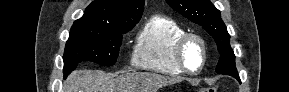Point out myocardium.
Returning a JSON list of instances; mask_svg holds the SVG:
<instances>
[{
	"label": "myocardium",
	"mask_w": 289,
	"mask_h": 92,
	"mask_svg": "<svg viewBox=\"0 0 289 92\" xmlns=\"http://www.w3.org/2000/svg\"><path fill=\"white\" fill-rule=\"evenodd\" d=\"M190 41L197 42L200 45L201 51H202V61H201L200 66L196 70L189 69L184 60L185 47ZM207 54H208L207 44L205 40L200 35L195 34V33H188V32L184 33L178 39L176 46H175V57H176L177 63L179 67L182 69V71L188 74H198L199 72L203 70L207 62Z\"/></svg>",
	"instance_id": "f54148a6"
}]
</instances>
